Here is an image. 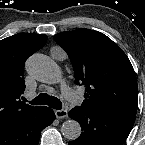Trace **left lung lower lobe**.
Listing matches in <instances>:
<instances>
[{
	"label": "left lung lower lobe",
	"instance_id": "1",
	"mask_svg": "<svg viewBox=\"0 0 145 145\" xmlns=\"http://www.w3.org/2000/svg\"><path fill=\"white\" fill-rule=\"evenodd\" d=\"M69 116L78 121L83 132L69 145H123L135 122L136 113L92 111L76 106Z\"/></svg>",
	"mask_w": 145,
	"mask_h": 145
}]
</instances>
